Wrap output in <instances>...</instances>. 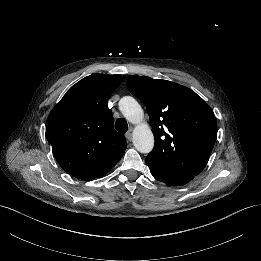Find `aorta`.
I'll return each instance as SVG.
<instances>
[{
	"instance_id": "1",
	"label": "aorta",
	"mask_w": 261,
	"mask_h": 261,
	"mask_svg": "<svg viewBox=\"0 0 261 261\" xmlns=\"http://www.w3.org/2000/svg\"><path fill=\"white\" fill-rule=\"evenodd\" d=\"M119 109L130 122H139L143 117V110L140 104L131 96H125L120 99ZM132 140L136 150L142 154H149L154 148V136L145 124L135 128Z\"/></svg>"
}]
</instances>
